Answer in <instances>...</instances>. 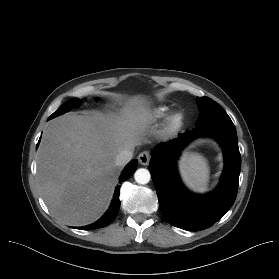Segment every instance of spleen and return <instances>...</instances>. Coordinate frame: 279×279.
Masks as SVG:
<instances>
[{"label":"spleen","instance_id":"obj_1","mask_svg":"<svg viewBox=\"0 0 279 279\" xmlns=\"http://www.w3.org/2000/svg\"><path fill=\"white\" fill-rule=\"evenodd\" d=\"M184 182L196 192H204L209 180V167L206 159L199 154H186L180 163Z\"/></svg>","mask_w":279,"mask_h":279}]
</instances>
